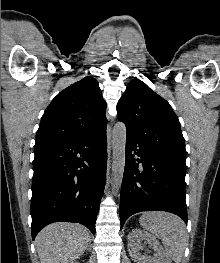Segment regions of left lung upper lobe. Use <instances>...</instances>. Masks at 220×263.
Segmentation results:
<instances>
[{"label":"left lung upper lobe","instance_id":"1","mask_svg":"<svg viewBox=\"0 0 220 263\" xmlns=\"http://www.w3.org/2000/svg\"><path fill=\"white\" fill-rule=\"evenodd\" d=\"M117 111L118 119L126 125V136L185 162V143L177 115L165 99L142 81L129 82Z\"/></svg>","mask_w":220,"mask_h":263}]
</instances>
